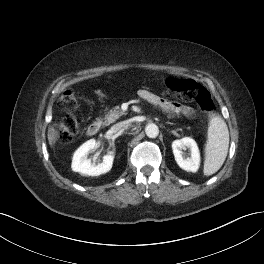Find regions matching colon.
I'll return each instance as SVG.
<instances>
[{"mask_svg": "<svg viewBox=\"0 0 264 264\" xmlns=\"http://www.w3.org/2000/svg\"><path fill=\"white\" fill-rule=\"evenodd\" d=\"M166 84L182 101H195L206 113L213 111L214 103L211 94L204 86L197 84L193 80L179 78H170ZM62 103L69 114L62 118L55 129V133L61 142L68 143L80 129V122L75 116L70 114L76 106L75 94L71 90H66L62 95Z\"/></svg>", "mask_w": 264, "mask_h": 264, "instance_id": "5ec220e1", "label": "colon"}]
</instances>
